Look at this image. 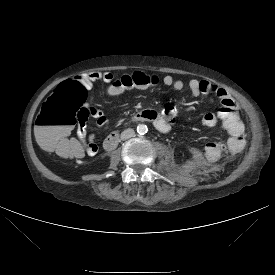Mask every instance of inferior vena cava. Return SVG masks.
Here are the masks:
<instances>
[{"instance_id":"inferior-vena-cava-1","label":"inferior vena cava","mask_w":275,"mask_h":275,"mask_svg":"<svg viewBox=\"0 0 275 275\" xmlns=\"http://www.w3.org/2000/svg\"><path fill=\"white\" fill-rule=\"evenodd\" d=\"M135 135V132L133 129L129 128V129H126L124 130L122 133H121V139L122 140H127L131 137H134Z\"/></svg>"}]
</instances>
